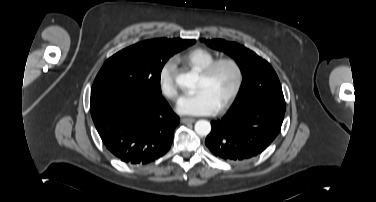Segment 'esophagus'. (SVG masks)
Instances as JSON below:
<instances>
[{"mask_svg": "<svg viewBox=\"0 0 376 202\" xmlns=\"http://www.w3.org/2000/svg\"><path fill=\"white\" fill-rule=\"evenodd\" d=\"M181 122L182 123H193V122H195V119L194 118H182Z\"/></svg>", "mask_w": 376, "mask_h": 202, "instance_id": "esophagus-1", "label": "esophagus"}]
</instances>
